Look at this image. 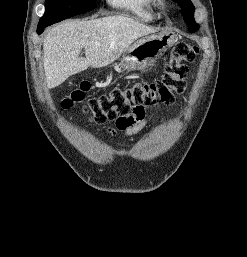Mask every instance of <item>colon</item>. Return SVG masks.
<instances>
[{
  "instance_id": "obj_1",
  "label": "colon",
  "mask_w": 247,
  "mask_h": 257,
  "mask_svg": "<svg viewBox=\"0 0 247 257\" xmlns=\"http://www.w3.org/2000/svg\"><path fill=\"white\" fill-rule=\"evenodd\" d=\"M198 54L196 46L179 43L172 49L165 65L163 76L153 82H136L125 87L115 88L107 94L91 99L85 106V112L91 121L104 124L114 121L118 125H127L134 111L145 109L158 102H168L175 94L185 90V77L188 71L187 62L193 61ZM90 85L82 82L72 88L62 99L63 108L81 102Z\"/></svg>"
}]
</instances>
